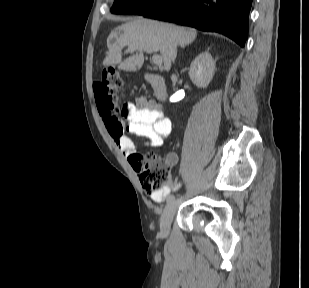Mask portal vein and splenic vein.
I'll use <instances>...</instances> for the list:
<instances>
[{"instance_id": "18ae733b", "label": "portal vein and splenic vein", "mask_w": 309, "mask_h": 288, "mask_svg": "<svg viewBox=\"0 0 309 288\" xmlns=\"http://www.w3.org/2000/svg\"><path fill=\"white\" fill-rule=\"evenodd\" d=\"M152 61H153V63H154L155 65L161 66L162 63H163V58H162V56H160V55H153Z\"/></svg>"}]
</instances>
